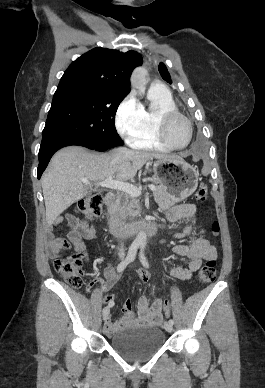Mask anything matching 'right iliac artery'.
<instances>
[{
    "mask_svg": "<svg viewBox=\"0 0 265 388\" xmlns=\"http://www.w3.org/2000/svg\"><path fill=\"white\" fill-rule=\"evenodd\" d=\"M139 245L138 244H132L129 248V251H128V254L126 256V258L120 262L117 266V271L118 272H122L129 263L133 262L135 257H136V253H137V249H138ZM109 307L113 306V304H108Z\"/></svg>",
    "mask_w": 265,
    "mask_h": 388,
    "instance_id": "obj_1",
    "label": "right iliac artery"
}]
</instances>
